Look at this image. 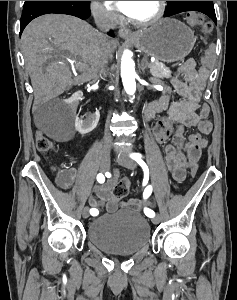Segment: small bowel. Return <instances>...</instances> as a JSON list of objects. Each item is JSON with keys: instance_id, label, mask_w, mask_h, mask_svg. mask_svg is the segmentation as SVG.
<instances>
[{"instance_id": "c3829d8e", "label": "small bowel", "mask_w": 237, "mask_h": 300, "mask_svg": "<svg viewBox=\"0 0 237 300\" xmlns=\"http://www.w3.org/2000/svg\"><path fill=\"white\" fill-rule=\"evenodd\" d=\"M209 77V67L203 65L197 67L194 59L186 60L171 79L179 99L172 100L171 96L165 95L150 103L144 111L146 122L154 120L163 112L168 114L157 119L152 135L158 143L165 145L166 164L176 182H182L186 177V169L198 161L201 150L208 144L207 135L213 129V124L208 119L210 108L207 103L201 101ZM186 127L198 129V133L190 134L187 141L183 135ZM53 171L56 183L62 189L72 187L91 189L93 195L89 203L98 214L102 210L107 212L117 210L119 202L112 195V189L118 179L117 173L106 183L93 185L90 178L84 179L74 167L54 168ZM142 205L137 199H131L123 204L125 207L135 209L141 208Z\"/></svg>"}]
</instances>
